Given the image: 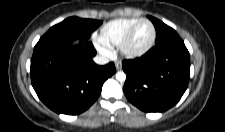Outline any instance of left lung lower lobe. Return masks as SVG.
<instances>
[{
    "instance_id": "left-lung-lower-lobe-1",
    "label": "left lung lower lobe",
    "mask_w": 225,
    "mask_h": 132,
    "mask_svg": "<svg viewBox=\"0 0 225 132\" xmlns=\"http://www.w3.org/2000/svg\"><path fill=\"white\" fill-rule=\"evenodd\" d=\"M153 23L160 22L151 18ZM124 93L144 112H163L184 94L190 76V54L181 38L155 44L145 55L124 60Z\"/></svg>"
}]
</instances>
